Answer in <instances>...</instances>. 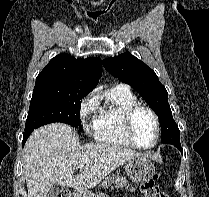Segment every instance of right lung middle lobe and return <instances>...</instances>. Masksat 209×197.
I'll return each instance as SVG.
<instances>
[{
    "label": "right lung middle lobe",
    "mask_w": 209,
    "mask_h": 197,
    "mask_svg": "<svg viewBox=\"0 0 209 197\" xmlns=\"http://www.w3.org/2000/svg\"><path fill=\"white\" fill-rule=\"evenodd\" d=\"M91 91L76 84L36 82L25 132L52 122L81 127V99Z\"/></svg>",
    "instance_id": "right-lung-middle-lobe-1"
}]
</instances>
